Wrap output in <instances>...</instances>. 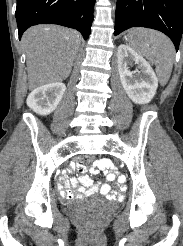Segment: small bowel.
<instances>
[{
  "label": "small bowel",
  "instance_id": "small-bowel-1",
  "mask_svg": "<svg viewBox=\"0 0 183 246\" xmlns=\"http://www.w3.org/2000/svg\"><path fill=\"white\" fill-rule=\"evenodd\" d=\"M111 168V169H110ZM118 165H114V160L100 159L96 160L92 167H90L91 173H96L101 170V174H106L108 180L118 179L119 188H114L112 191L108 184L97 183L93 184L92 179L86 174V166L83 164L67 165L66 169H62V174L59 175L61 179L58 188L61 195L66 198H80L82 196L91 195L99 192L102 195L107 196L110 199L119 198L118 193H127L128 189L124 188L122 183H127L126 174H115V170H118ZM71 170H77L78 178H70ZM69 179V180H68Z\"/></svg>",
  "mask_w": 183,
  "mask_h": 246
}]
</instances>
